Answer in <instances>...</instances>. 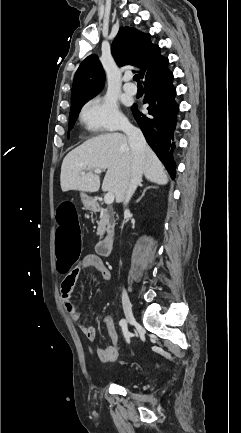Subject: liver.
Instances as JSON below:
<instances>
[{
    "label": "liver",
    "mask_w": 241,
    "mask_h": 433,
    "mask_svg": "<svg viewBox=\"0 0 241 433\" xmlns=\"http://www.w3.org/2000/svg\"><path fill=\"white\" fill-rule=\"evenodd\" d=\"M132 165V154L128 137L120 133L104 134L87 140L69 152L63 159L60 185L63 192L79 190L97 192L100 177L95 169H107L102 190L112 192L116 202L124 200L128 189ZM86 171L85 175L81 172ZM151 182L164 185L168 182L164 166L150 147L146 146L144 170Z\"/></svg>",
    "instance_id": "6515ba94"
}]
</instances>
